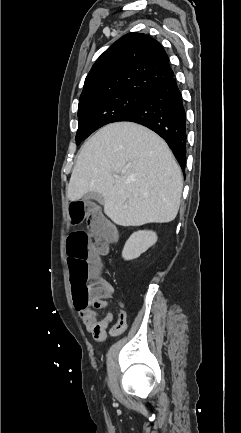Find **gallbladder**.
I'll list each match as a JSON object with an SVG mask.
<instances>
[{
  "instance_id": "bac80fb5",
  "label": "gallbladder",
  "mask_w": 241,
  "mask_h": 433,
  "mask_svg": "<svg viewBox=\"0 0 241 433\" xmlns=\"http://www.w3.org/2000/svg\"><path fill=\"white\" fill-rule=\"evenodd\" d=\"M83 200H84L85 202H88V201H90V200H96V201H98L99 203H103L104 198H103V196H102L100 193H97V192H88V193H86V194L83 196Z\"/></svg>"
}]
</instances>
